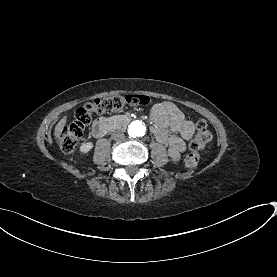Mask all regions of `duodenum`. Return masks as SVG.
I'll use <instances>...</instances> for the list:
<instances>
[{
	"instance_id": "410a0bca",
	"label": "duodenum",
	"mask_w": 277,
	"mask_h": 277,
	"mask_svg": "<svg viewBox=\"0 0 277 277\" xmlns=\"http://www.w3.org/2000/svg\"><path fill=\"white\" fill-rule=\"evenodd\" d=\"M130 117L124 116L114 119L102 118L97 120L92 127V133L96 137H102L107 132L120 128L130 122Z\"/></svg>"
}]
</instances>
